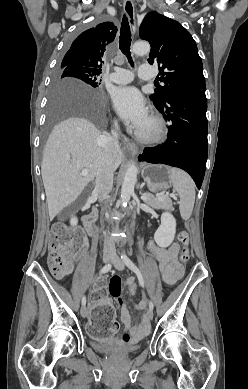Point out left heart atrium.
I'll list each match as a JSON object with an SVG mask.
<instances>
[{
	"label": "left heart atrium",
	"mask_w": 248,
	"mask_h": 389,
	"mask_svg": "<svg viewBox=\"0 0 248 389\" xmlns=\"http://www.w3.org/2000/svg\"><path fill=\"white\" fill-rule=\"evenodd\" d=\"M111 100L120 117L137 130H140L148 120L145 100L135 87L115 88L111 93Z\"/></svg>",
	"instance_id": "obj_1"
}]
</instances>
